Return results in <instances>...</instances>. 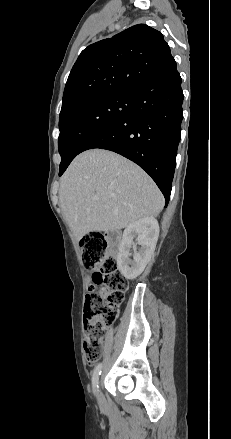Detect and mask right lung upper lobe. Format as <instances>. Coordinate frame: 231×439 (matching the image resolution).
I'll return each instance as SVG.
<instances>
[{
	"instance_id": "right-lung-upper-lobe-1",
	"label": "right lung upper lobe",
	"mask_w": 231,
	"mask_h": 439,
	"mask_svg": "<svg viewBox=\"0 0 231 439\" xmlns=\"http://www.w3.org/2000/svg\"><path fill=\"white\" fill-rule=\"evenodd\" d=\"M175 65L159 31L134 25L81 52L66 82L60 114L92 97L134 93Z\"/></svg>"
}]
</instances>
